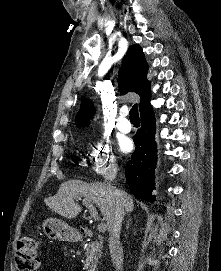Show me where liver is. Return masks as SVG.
<instances>
[{
    "mask_svg": "<svg viewBox=\"0 0 221 271\" xmlns=\"http://www.w3.org/2000/svg\"><path fill=\"white\" fill-rule=\"evenodd\" d=\"M117 191L123 197V205L125 211H133L134 201L126 191L122 189H116L113 185H105V183H100V181H95V183H84L81 179H71V181H64L61 187L58 189L56 195L52 197H46L45 201L53 211L60 213L63 217H76L80 213L82 207L75 203V195H83L85 199H93L97 207H99L104 219L106 221V227L110 225L113 217L114 205L117 199Z\"/></svg>",
    "mask_w": 221,
    "mask_h": 271,
    "instance_id": "obj_1",
    "label": "liver"
}]
</instances>
